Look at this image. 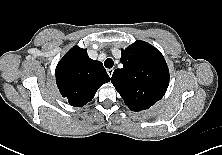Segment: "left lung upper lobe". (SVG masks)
<instances>
[{"instance_id":"5c2ea615","label":"left lung upper lobe","mask_w":222,"mask_h":155,"mask_svg":"<svg viewBox=\"0 0 222 155\" xmlns=\"http://www.w3.org/2000/svg\"><path fill=\"white\" fill-rule=\"evenodd\" d=\"M121 52L123 68L114 71L111 82L131 110L148 109L164 96L169 85L165 59L155 47L140 40Z\"/></svg>"}]
</instances>
